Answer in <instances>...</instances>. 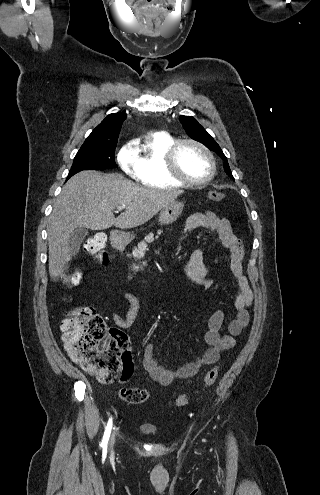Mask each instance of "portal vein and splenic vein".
<instances>
[{"mask_svg": "<svg viewBox=\"0 0 320 495\" xmlns=\"http://www.w3.org/2000/svg\"><path fill=\"white\" fill-rule=\"evenodd\" d=\"M124 208H125V206H120V207H118V208H117V210H118V211H121V210H123Z\"/></svg>", "mask_w": 320, "mask_h": 495, "instance_id": "obj_1", "label": "portal vein and splenic vein"}]
</instances>
